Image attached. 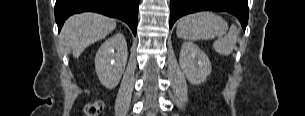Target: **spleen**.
Returning a JSON list of instances; mask_svg holds the SVG:
<instances>
[{"instance_id":"spleen-1","label":"spleen","mask_w":305,"mask_h":116,"mask_svg":"<svg viewBox=\"0 0 305 116\" xmlns=\"http://www.w3.org/2000/svg\"><path fill=\"white\" fill-rule=\"evenodd\" d=\"M227 30L228 24L222 17L209 11H201L179 19L176 33L179 38L189 41L217 37V47L224 52L226 39L223 35Z\"/></svg>"}]
</instances>
